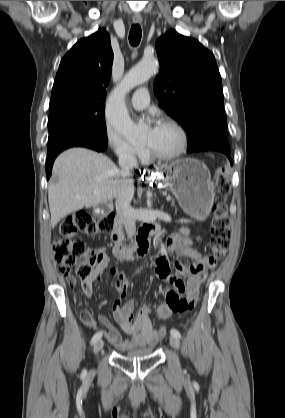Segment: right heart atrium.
<instances>
[{"instance_id":"d8ad5b80","label":"right heart atrium","mask_w":285,"mask_h":418,"mask_svg":"<svg viewBox=\"0 0 285 418\" xmlns=\"http://www.w3.org/2000/svg\"><path fill=\"white\" fill-rule=\"evenodd\" d=\"M105 141L110 150L120 159L134 160L146 153L145 147L134 146L112 126L106 129Z\"/></svg>"}]
</instances>
